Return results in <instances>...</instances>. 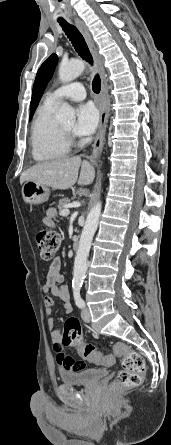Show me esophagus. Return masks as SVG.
<instances>
[{"mask_svg": "<svg viewBox=\"0 0 171 445\" xmlns=\"http://www.w3.org/2000/svg\"><path fill=\"white\" fill-rule=\"evenodd\" d=\"M75 23H76L78 29L80 30V32L82 33V35L90 49V52H91V54L94 58V61H95L96 68H97V70L100 74V77H101V93H100V104H99L100 111H101L100 124H99V130H98L96 139L93 144L92 156H91V160L94 161V159H96L99 156V154L101 153L102 148H103L106 127H107V122H108V116H109L110 99H109V95H108V86H107L105 69L103 66V60L98 53L97 47L90 35V32H89L87 26L85 25V23L79 18L75 19Z\"/></svg>", "mask_w": 171, "mask_h": 445, "instance_id": "obj_1", "label": "esophagus"}]
</instances>
